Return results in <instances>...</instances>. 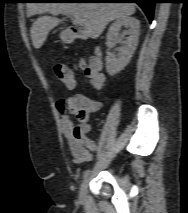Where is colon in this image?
I'll return each instance as SVG.
<instances>
[{
	"instance_id": "1",
	"label": "colon",
	"mask_w": 188,
	"mask_h": 213,
	"mask_svg": "<svg viewBox=\"0 0 188 213\" xmlns=\"http://www.w3.org/2000/svg\"><path fill=\"white\" fill-rule=\"evenodd\" d=\"M79 67L84 71L85 75L90 78L92 85L96 89L104 87L105 79L99 72V65H95L91 61L82 60ZM53 68L56 76L67 88L72 89L76 86L74 73L69 67L62 63H55Z\"/></svg>"
}]
</instances>
